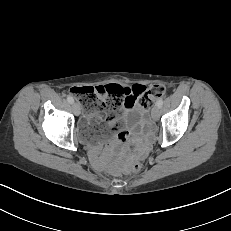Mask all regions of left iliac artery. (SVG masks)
I'll list each match as a JSON object with an SVG mask.
<instances>
[{"label":"left iliac artery","mask_w":231,"mask_h":231,"mask_svg":"<svg viewBox=\"0 0 231 231\" xmlns=\"http://www.w3.org/2000/svg\"><path fill=\"white\" fill-rule=\"evenodd\" d=\"M162 105H163V99H159V100L157 101V106H158L159 108H161Z\"/></svg>","instance_id":"44dca946"}]
</instances>
